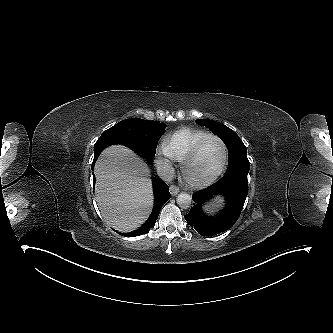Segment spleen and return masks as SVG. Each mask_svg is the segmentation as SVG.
I'll return each instance as SVG.
<instances>
[{
	"instance_id": "spleen-1",
	"label": "spleen",
	"mask_w": 333,
	"mask_h": 333,
	"mask_svg": "<svg viewBox=\"0 0 333 333\" xmlns=\"http://www.w3.org/2000/svg\"><path fill=\"white\" fill-rule=\"evenodd\" d=\"M216 201H217V203L212 204V208L221 206L222 198H216ZM212 208H211V206H207L206 210L212 211Z\"/></svg>"
}]
</instances>
